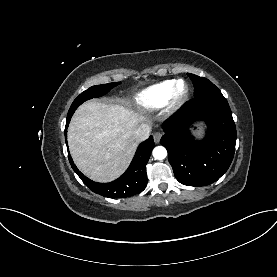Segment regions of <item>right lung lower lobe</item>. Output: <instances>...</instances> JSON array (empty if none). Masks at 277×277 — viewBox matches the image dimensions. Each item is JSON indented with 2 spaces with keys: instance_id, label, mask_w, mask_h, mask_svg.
<instances>
[{
  "instance_id": "obj_1",
  "label": "right lung lower lobe",
  "mask_w": 277,
  "mask_h": 277,
  "mask_svg": "<svg viewBox=\"0 0 277 277\" xmlns=\"http://www.w3.org/2000/svg\"><path fill=\"white\" fill-rule=\"evenodd\" d=\"M69 122L70 120L66 121L65 127L66 143ZM154 147L153 137L150 136L139 145L127 171L121 177L110 183H97L90 180L77 169L69 151L68 157L73 170L91 191L109 198H121L139 194L145 189L147 185L146 164Z\"/></svg>"
}]
</instances>
